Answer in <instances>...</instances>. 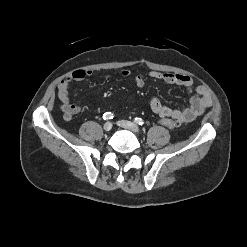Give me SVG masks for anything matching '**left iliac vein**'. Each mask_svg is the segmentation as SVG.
<instances>
[{"mask_svg":"<svg viewBox=\"0 0 247 247\" xmlns=\"http://www.w3.org/2000/svg\"><path fill=\"white\" fill-rule=\"evenodd\" d=\"M117 124L124 129L130 130L134 133H139V127L133 122L120 120L117 122Z\"/></svg>","mask_w":247,"mask_h":247,"instance_id":"4c4485c4","label":"left iliac vein"}]
</instances>
